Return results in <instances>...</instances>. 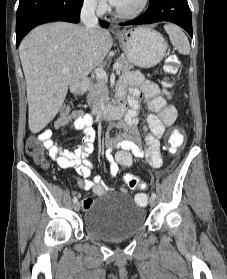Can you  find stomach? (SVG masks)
I'll return each instance as SVG.
<instances>
[{
    "label": "stomach",
    "instance_id": "1",
    "mask_svg": "<svg viewBox=\"0 0 227 279\" xmlns=\"http://www.w3.org/2000/svg\"><path fill=\"white\" fill-rule=\"evenodd\" d=\"M127 60L142 68H151L161 62L167 51L164 37L148 27H137L117 33Z\"/></svg>",
    "mask_w": 227,
    "mask_h": 279
}]
</instances>
